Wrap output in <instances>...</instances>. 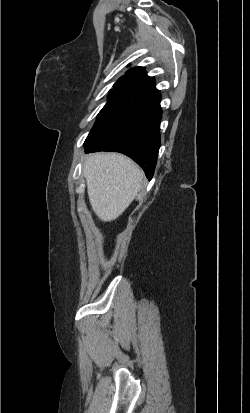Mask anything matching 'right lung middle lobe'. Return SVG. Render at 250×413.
<instances>
[{
  "label": "right lung middle lobe",
  "mask_w": 250,
  "mask_h": 413,
  "mask_svg": "<svg viewBox=\"0 0 250 413\" xmlns=\"http://www.w3.org/2000/svg\"><path fill=\"white\" fill-rule=\"evenodd\" d=\"M109 99L97 117V121L90 131L84 146L95 141L109 130L124 113L130 102L136 98L134 94L117 93L110 91Z\"/></svg>",
  "instance_id": "dd1d6c3e"
}]
</instances>
